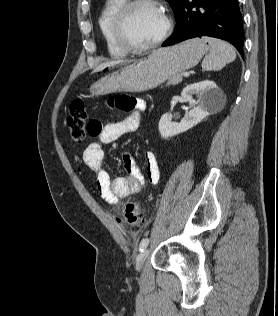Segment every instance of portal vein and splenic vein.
<instances>
[{"label":"portal vein and splenic vein","mask_w":278,"mask_h":316,"mask_svg":"<svg viewBox=\"0 0 278 316\" xmlns=\"http://www.w3.org/2000/svg\"><path fill=\"white\" fill-rule=\"evenodd\" d=\"M183 76H184V77H189V76H190V72H184V73H183Z\"/></svg>","instance_id":"portal-vein-and-splenic-vein-1"}]
</instances>
